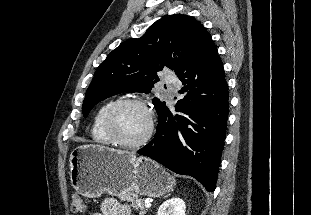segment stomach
Instances as JSON below:
<instances>
[{
    "label": "stomach",
    "mask_w": 311,
    "mask_h": 215,
    "mask_svg": "<svg viewBox=\"0 0 311 215\" xmlns=\"http://www.w3.org/2000/svg\"><path fill=\"white\" fill-rule=\"evenodd\" d=\"M69 168L73 188L86 198L129 192L155 198L175 185V178L149 158L93 144L72 150Z\"/></svg>",
    "instance_id": "0dacf381"
}]
</instances>
